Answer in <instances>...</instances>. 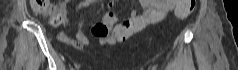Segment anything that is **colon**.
<instances>
[{
    "label": "colon",
    "mask_w": 238,
    "mask_h": 70,
    "mask_svg": "<svg viewBox=\"0 0 238 70\" xmlns=\"http://www.w3.org/2000/svg\"><path fill=\"white\" fill-rule=\"evenodd\" d=\"M195 4V0H180L175 10L176 15L179 18H187L194 11ZM30 7L35 14L46 16L54 27L59 26L64 20L49 0H30Z\"/></svg>",
    "instance_id": "colon-1"
}]
</instances>
